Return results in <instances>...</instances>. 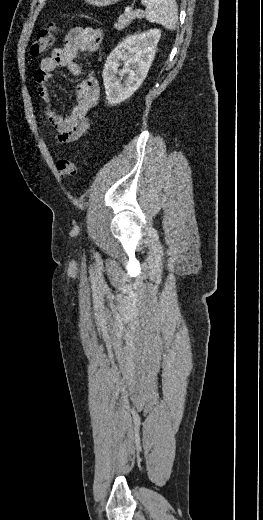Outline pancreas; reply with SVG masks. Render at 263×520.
I'll return each instance as SVG.
<instances>
[{
    "instance_id": "pancreas-1",
    "label": "pancreas",
    "mask_w": 263,
    "mask_h": 520,
    "mask_svg": "<svg viewBox=\"0 0 263 520\" xmlns=\"http://www.w3.org/2000/svg\"><path fill=\"white\" fill-rule=\"evenodd\" d=\"M144 17L143 12L141 11H133L128 10L125 11L124 15H121L117 21V23L114 24V27L117 30H123L125 29L134 19H142Z\"/></svg>"
}]
</instances>
